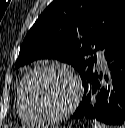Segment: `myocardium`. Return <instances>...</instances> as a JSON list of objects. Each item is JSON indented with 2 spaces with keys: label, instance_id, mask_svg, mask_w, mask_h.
<instances>
[{
  "label": "myocardium",
  "instance_id": "obj_1",
  "mask_svg": "<svg viewBox=\"0 0 125 128\" xmlns=\"http://www.w3.org/2000/svg\"><path fill=\"white\" fill-rule=\"evenodd\" d=\"M42 71H51V72H58L60 74H63L71 81L74 87V96L72 101L68 106H66L60 112L52 113V114L39 113V112H36L30 106L29 100L27 98V87H28L29 81L34 75ZM81 96H82L81 84L73 75V73L69 69L56 64H42V65L36 66L25 75L21 84V101L23 103L24 109L33 120L39 123H54L67 117L76 109V107L80 102Z\"/></svg>",
  "mask_w": 125,
  "mask_h": 128
}]
</instances>
